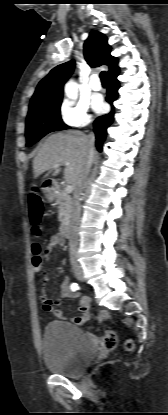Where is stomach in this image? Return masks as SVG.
Masks as SVG:
<instances>
[{
    "label": "stomach",
    "instance_id": "obj_1",
    "mask_svg": "<svg viewBox=\"0 0 168 415\" xmlns=\"http://www.w3.org/2000/svg\"><path fill=\"white\" fill-rule=\"evenodd\" d=\"M45 195H46V197H47L49 200H52V198H53V193H52V192H50V191H45Z\"/></svg>",
    "mask_w": 168,
    "mask_h": 415
}]
</instances>
